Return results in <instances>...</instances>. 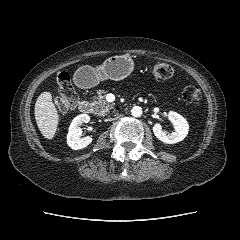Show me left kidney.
Returning <instances> with one entry per match:
<instances>
[{"label": "left kidney", "instance_id": "obj_1", "mask_svg": "<svg viewBox=\"0 0 240 240\" xmlns=\"http://www.w3.org/2000/svg\"><path fill=\"white\" fill-rule=\"evenodd\" d=\"M168 119L174 126L175 132L166 134L163 131L162 126L159 123L154 124L153 132L155 136L162 142L167 144H174L182 141L188 134L189 125L186 119L180 114L170 111L168 113Z\"/></svg>", "mask_w": 240, "mask_h": 240}]
</instances>
